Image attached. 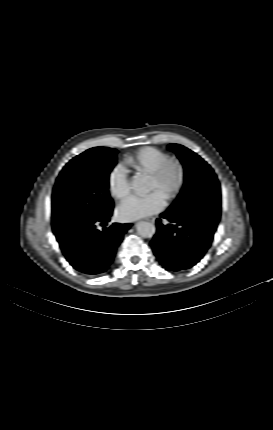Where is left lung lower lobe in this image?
<instances>
[{"mask_svg": "<svg viewBox=\"0 0 273 430\" xmlns=\"http://www.w3.org/2000/svg\"><path fill=\"white\" fill-rule=\"evenodd\" d=\"M186 202L183 212L168 209L157 219V231L151 242L159 262L167 270L180 271L194 266L210 247L221 215L219 196L202 194Z\"/></svg>", "mask_w": 273, "mask_h": 430, "instance_id": "0a47b994", "label": "left lung lower lobe"}]
</instances>
